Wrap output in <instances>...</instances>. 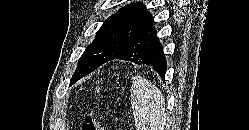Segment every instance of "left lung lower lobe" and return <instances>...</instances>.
I'll return each instance as SVG.
<instances>
[{
  "label": "left lung lower lobe",
  "mask_w": 249,
  "mask_h": 130,
  "mask_svg": "<svg viewBox=\"0 0 249 130\" xmlns=\"http://www.w3.org/2000/svg\"><path fill=\"white\" fill-rule=\"evenodd\" d=\"M112 59H121L132 61L136 64L149 65L156 70L163 79L167 68L163 47L159 42L157 32L153 25H150L140 32Z\"/></svg>",
  "instance_id": "obj_1"
}]
</instances>
